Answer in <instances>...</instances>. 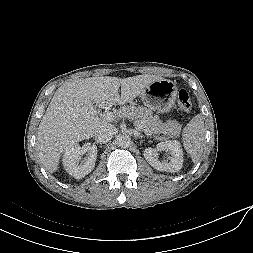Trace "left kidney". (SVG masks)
<instances>
[{
    "mask_svg": "<svg viewBox=\"0 0 253 253\" xmlns=\"http://www.w3.org/2000/svg\"><path fill=\"white\" fill-rule=\"evenodd\" d=\"M166 151L170 153L169 161L160 162L158 160L159 152ZM144 158L158 171L177 172L183 166V151L178 141L168 140L157 144L156 148H146Z\"/></svg>",
    "mask_w": 253,
    "mask_h": 253,
    "instance_id": "1",
    "label": "left kidney"
}]
</instances>
